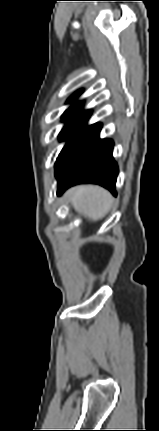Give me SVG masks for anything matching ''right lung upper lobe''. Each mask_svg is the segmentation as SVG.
Segmentation results:
<instances>
[{"label":"right lung upper lobe","mask_w":159,"mask_h":431,"mask_svg":"<svg viewBox=\"0 0 159 431\" xmlns=\"http://www.w3.org/2000/svg\"><path fill=\"white\" fill-rule=\"evenodd\" d=\"M83 92V90H79L76 93H74L68 100L67 103L72 104L69 109H67L62 117L68 120H82L87 122L89 119L91 112L90 111H84L82 109V104L80 102H77V98L79 95Z\"/></svg>","instance_id":"1"}]
</instances>
